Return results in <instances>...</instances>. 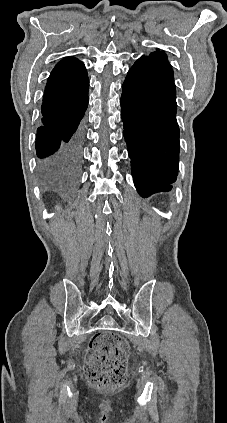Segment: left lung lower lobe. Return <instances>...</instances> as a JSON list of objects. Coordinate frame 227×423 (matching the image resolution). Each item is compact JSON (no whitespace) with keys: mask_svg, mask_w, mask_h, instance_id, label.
Returning <instances> with one entry per match:
<instances>
[{"mask_svg":"<svg viewBox=\"0 0 227 423\" xmlns=\"http://www.w3.org/2000/svg\"><path fill=\"white\" fill-rule=\"evenodd\" d=\"M124 137L134 184L142 197L169 191L179 161L177 107L151 79L128 73L122 86Z\"/></svg>","mask_w":227,"mask_h":423,"instance_id":"1","label":"left lung lower lobe"}]
</instances>
